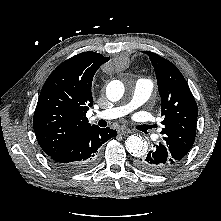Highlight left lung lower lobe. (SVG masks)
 <instances>
[{"instance_id": "1", "label": "left lung lower lobe", "mask_w": 221, "mask_h": 221, "mask_svg": "<svg viewBox=\"0 0 221 221\" xmlns=\"http://www.w3.org/2000/svg\"><path fill=\"white\" fill-rule=\"evenodd\" d=\"M136 165L148 173L164 174L174 170L179 163L166 144L159 142L153 143L152 149L136 160Z\"/></svg>"}]
</instances>
